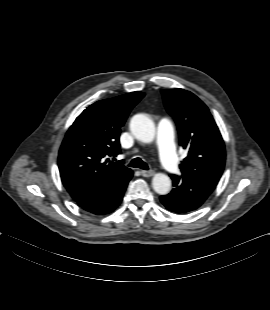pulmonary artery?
Masks as SVG:
<instances>
[{
	"mask_svg": "<svg viewBox=\"0 0 270 310\" xmlns=\"http://www.w3.org/2000/svg\"><path fill=\"white\" fill-rule=\"evenodd\" d=\"M157 142L161 163L170 173H177L179 169L174 147V130L170 120L162 119L158 123Z\"/></svg>",
	"mask_w": 270,
	"mask_h": 310,
	"instance_id": "1",
	"label": "pulmonary artery"
}]
</instances>
